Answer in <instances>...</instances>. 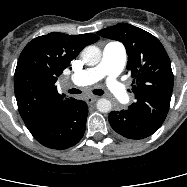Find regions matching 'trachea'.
<instances>
[{"label": "trachea", "instance_id": "obj_1", "mask_svg": "<svg viewBox=\"0 0 187 187\" xmlns=\"http://www.w3.org/2000/svg\"><path fill=\"white\" fill-rule=\"evenodd\" d=\"M68 92L70 94H80L81 93V91L79 89H75V88H72V89L68 90ZM93 93L96 94V95H103L104 91L101 90V89H94Z\"/></svg>", "mask_w": 187, "mask_h": 187}]
</instances>
